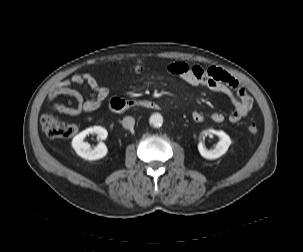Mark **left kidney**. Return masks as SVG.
<instances>
[{
	"label": "left kidney",
	"mask_w": 303,
	"mask_h": 252,
	"mask_svg": "<svg viewBox=\"0 0 303 252\" xmlns=\"http://www.w3.org/2000/svg\"><path fill=\"white\" fill-rule=\"evenodd\" d=\"M203 133H213L216 134L219 137V142L217 143L216 147L212 150H207L202 142L198 145V150L206 159H217L221 157L223 154H225L231 144L230 137L224 132V131H218L214 129H209L208 131H204Z\"/></svg>",
	"instance_id": "left-kidney-1"
}]
</instances>
